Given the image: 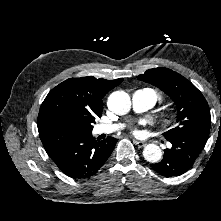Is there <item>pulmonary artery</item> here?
<instances>
[{
  "label": "pulmonary artery",
  "mask_w": 221,
  "mask_h": 221,
  "mask_svg": "<svg viewBox=\"0 0 221 221\" xmlns=\"http://www.w3.org/2000/svg\"><path fill=\"white\" fill-rule=\"evenodd\" d=\"M157 101V95L150 88H143L135 91L132 95V106L137 112H143L152 108ZM121 128L119 124H101L96 126L95 133L110 134Z\"/></svg>",
  "instance_id": "e3ab8cb5"
}]
</instances>
